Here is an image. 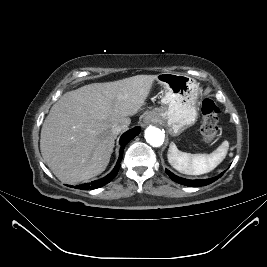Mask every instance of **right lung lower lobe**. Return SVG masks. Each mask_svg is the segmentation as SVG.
<instances>
[{
	"mask_svg": "<svg viewBox=\"0 0 267 267\" xmlns=\"http://www.w3.org/2000/svg\"><path fill=\"white\" fill-rule=\"evenodd\" d=\"M141 128L140 127H135L129 131H127L126 133H124L121 138H120V144H121V148H120V156L119 159L117 161L116 166L114 167V169L111 171V173H109L107 176H105L104 178L100 179V180H96L93 181L91 183H85L79 186H76L75 188L78 189H82V190H88V189H96L99 187H102L104 185H106L107 183H109L118 173V170L120 168V162L122 160V154H123V150L125 145L131 140L133 139L136 135L139 134Z\"/></svg>",
	"mask_w": 267,
	"mask_h": 267,
	"instance_id": "obj_1",
	"label": "right lung lower lobe"
}]
</instances>
